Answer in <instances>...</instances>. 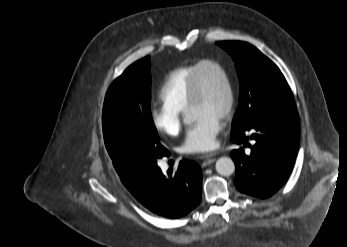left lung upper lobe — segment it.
Returning a JSON list of instances; mask_svg holds the SVG:
<instances>
[{
	"instance_id": "left-lung-upper-lobe-1",
	"label": "left lung upper lobe",
	"mask_w": 347,
	"mask_h": 247,
	"mask_svg": "<svg viewBox=\"0 0 347 247\" xmlns=\"http://www.w3.org/2000/svg\"><path fill=\"white\" fill-rule=\"evenodd\" d=\"M233 58L240 82V102L232 132L275 111L296 109L291 89L280 69L254 46L240 41L217 42Z\"/></svg>"
}]
</instances>
